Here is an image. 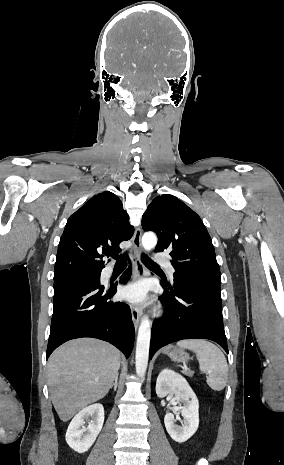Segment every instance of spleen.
Here are the masks:
<instances>
[{"label":"spleen","instance_id":"spleen-1","mask_svg":"<svg viewBox=\"0 0 284 465\" xmlns=\"http://www.w3.org/2000/svg\"><path fill=\"white\" fill-rule=\"evenodd\" d=\"M177 345L196 353L200 371L208 373L207 385L213 391H223L227 385L228 365L222 351L206 339H187Z\"/></svg>","mask_w":284,"mask_h":465}]
</instances>
